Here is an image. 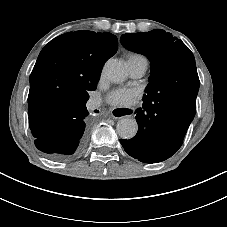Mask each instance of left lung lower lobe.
<instances>
[{"mask_svg": "<svg viewBox=\"0 0 227 227\" xmlns=\"http://www.w3.org/2000/svg\"><path fill=\"white\" fill-rule=\"evenodd\" d=\"M199 80L179 87L168 97L143 99L136 110L137 134L120 139L124 150L144 163H157L171 157L182 145L196 112Z\"/></svg>", "mask_w": 227, "mask_h": 227, "instance_id": "1", "label": "left lung lower lobe"}]
</instances>
